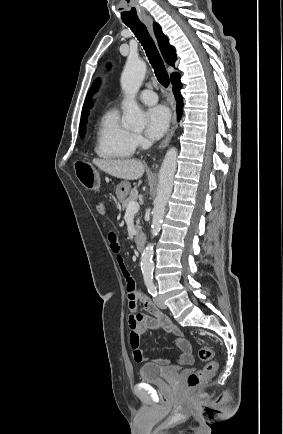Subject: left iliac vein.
I'll use <instances>...</instances> for the list:
<instances>
[{
    "label": "left iliac vein",
    "instance_id": "obj_1",
    "mask_svg": "<svg viewBox=\"0 0 283 434\" xmlns=\"http://www.w3.org/2000/svg\"><path fill=\"white\" fill-rule=\"evenodd\" d=\"M154 302L161 309H166L167 308V306L165 305L164 301L159 296H157V297L154 298Z\"/></svg>",
    "mask_w": 283,
    "mask_h": 434
}]
</instances>
